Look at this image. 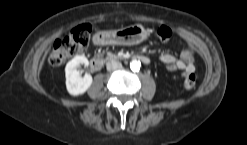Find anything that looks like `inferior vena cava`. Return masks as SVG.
Here are the masks:
<instances>
[{
  "label": "inferior vena cava",
  "mask_w": 247,
  "mask_h": 145,
  "mask_svg": "<svg viewBox=\"0 0 247 145\" xmlns=\"http://www.w3.org/2000/svg\"><path fill=\"white\" fill-rule=\"evenodd\" d=\"M106 68L108 71H114L122 68V64L119 61L112 60L106 64Z\"/></svg>",
  "instance_id": "602c4592"
}]
</instances>
